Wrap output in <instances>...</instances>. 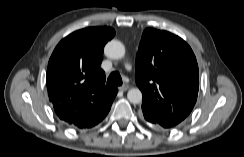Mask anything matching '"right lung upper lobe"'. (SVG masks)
<instances>
[{
    "label": "right lung upper lobe",
    "mask_w": 244,
    "mask_h": 157,
    "mask_svg": "<svg viewBox=\"0 0 244 157\" xmlns=\"http://www.w3.org/2000/svg\"><path fill=\"white\" fill-rule=\"evenodd\" d=\"M115 35L111 27H89L65 37L53 51L47 90L57 115L68 125L91 128L108 114L117 88L105 85L100 68L103 48Z\"/></svg>",
    "instance_id": "1"
}]
</instances>
